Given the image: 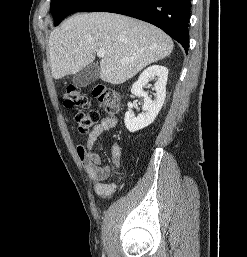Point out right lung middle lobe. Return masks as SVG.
I'll use <instances>...</instances> for the list:
<instances>
[{
	"label": "right lung middle lobe",
	"mask_w": 247,
	"mask_h": 257,
	"mask_svg": "<svg viewBox=\"0 0 247 257\" xmlns=\"http://www.w3.org/2000/svg\"><path fill=\"white\" fill-rule=\"evenodd\" d=\"M92 0H51V13L57 26L68 15L79 11Z\"/></svg>",
	"instance_id": "dd1d6c3e"
}]
</instances>
